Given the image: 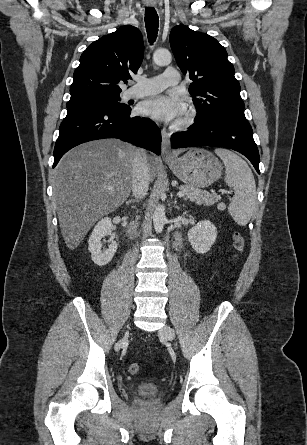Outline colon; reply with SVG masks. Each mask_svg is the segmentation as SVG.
<instances>
[{
    "instance_id": "colon-1",
    "label": "colon",
    "mask_w": 307,
    "mask_h": 445,
    "mask_svg": "<svg viewBox=\"0 0 307 445\" xmlns=\"http://www.w3.org/2000/svg\"><path fill=\"white\" fill-rule=\"evenodd\" d=\"M233 246H234L236 255H240L245 247V240L239 232H236L233 235ZM139 371H140V366L138 363L129 364L128 372L130 374L135 375V374H138Z\"/></svg>"
}]
</instances>
